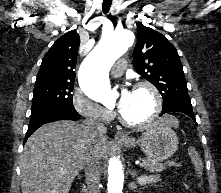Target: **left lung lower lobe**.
Returning a JSON list of instances; mask_svg holds the SVG:
<instances>
[{
  "instance_id": "left-lung-lower-lobe-1",
  "label": "left lung lower lobe",
  "mask_w": 221,
  "mask_h": 193,
  "mask_svg": "<svg viewBox=\"0 0 221 193\" xmlns=\"http://www.w3.org/2000/svg\"><path fill=\"white\" fill-rule=\"evenodd\" d=\"M169 112H182L191 117L195 122V115L192 110V105L190 100L184 101H176L173 103L168 104L167 106L163 107L161 115Z\"/></svg>"
}]
</instances>
